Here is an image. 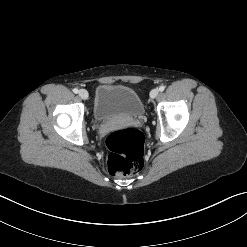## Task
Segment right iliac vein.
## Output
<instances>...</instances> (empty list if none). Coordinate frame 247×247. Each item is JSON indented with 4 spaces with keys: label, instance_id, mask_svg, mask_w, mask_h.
Here are the masks:
<instances>
[{
    "label": "right iliac vein",
    "instance_id": "63e3f726",
    "mask_svg": "<svg viewBox=\"0 0 247 247\" xmlns=\"http://www.w3.org/2000/svg\"><path fill=\"white\" fill-rule=\"evenodd\" d=\"M79 96H80L82 99L86 100V99H88L89 94H88L87 90L81 89V90L79 91Z\"/></svg>",
    "mask_w": 247,
    "mask_h": 247
}]
</instances>
